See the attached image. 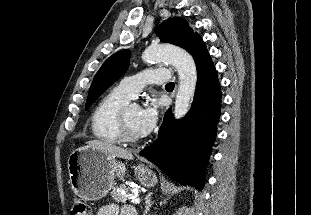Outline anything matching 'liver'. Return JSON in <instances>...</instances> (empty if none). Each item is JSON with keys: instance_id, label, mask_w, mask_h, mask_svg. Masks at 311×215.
<instances>
[{"instance_id": "1", "label": "liver", "mask_w": 311, "mask_h": 215, "mask_svg": "<svg viewBox=\"0 0 311 215\" xmlns=\"http://www.w3.org/2000/svg\"><path fill=\"white\" fill-rule=\"evenodd\" d=\"M87 146L99 149L111 158H123L126 160H132L133 155L128 150L118 147L112 143H108L100 140H90L86 142Z\"/></svg>"}]
</instances>
